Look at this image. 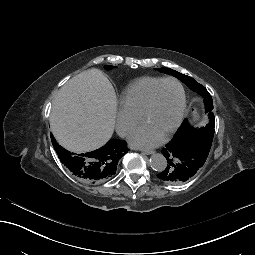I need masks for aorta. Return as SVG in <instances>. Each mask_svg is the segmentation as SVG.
Here are the masks:
<instances>
[{
	"mask_svg": "<svg viewBox=\"0 0 255 255\" xmlns=\"http://www.w3.org/2000/svg\"><path fill=\"white\" fill-rule=\"evenodd\" d=\"M150 166L154 171L162 172L167 166V160L162 154L155 153L150 158Z\"/></svg>",
	"mask_w": 255,
	"mask_h": 255,
	"instance_id": "obj_1",
	"label": "aorta"
}]
</instances>
